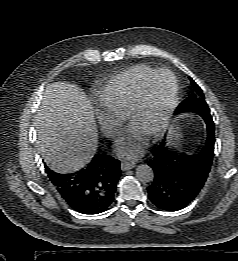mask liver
I'll list each match as a JSON object with an SVG mask.
<instances>
[{
	"label": "liver",
	"instance_id": "1",
	"mask_svg": "<svg viewBox=\"0 0 238 261\" xmlns=\"http://www.w3.org/2000/svg\"><path fill=\"white\" fill-rule=\"evenodd\" d=\"M35 125L39 150L47 165L56 171L76 170L96 151L98 130L92 105L83 90L74 84L49 85Z\"/></svg>",
	"mask_w": 238,
	"mask_h": 261
}]
</instances>
